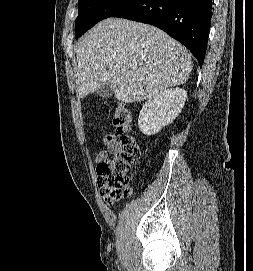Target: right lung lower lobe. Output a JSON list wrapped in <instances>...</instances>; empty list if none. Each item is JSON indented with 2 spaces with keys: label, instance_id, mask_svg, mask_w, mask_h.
Masks as SVG:
<instances>
[{
  "label": "right lung lower lobe",
  "instance_id": "98d812e1",
  "mask_svg": "<svg viewBox=\"0 0 253 271\" xmlns=\"http://www.w3.org/2000/svg\"><path fill=\"white\" fill-rule=\"evenodd\" d=\"M212 0H129L112 17L154 25L186 46L202 67Z\"/></svg>",
  "mask_w": 253,
  "mask_h": 271
}]
</instances>
